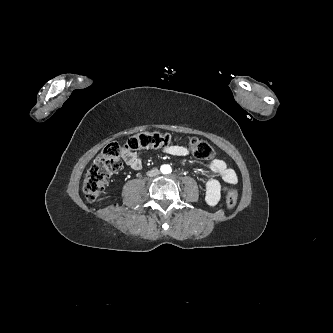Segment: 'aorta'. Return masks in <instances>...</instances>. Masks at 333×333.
<instances>
[{
    "label": "aorta",
    "instance_id": "762f6f07",
    "mask_svg": "<svg viewBox=\"0 0 333 333\" xmlns=\"http://www.w3.org/2000/svg\"><path fill=\"white\" fill-rule=\"evenodd\" d=\"M161 171L164 174H169L171 173V167L169 165H164L161 167Z\"/></svg>",
    "mask_w": 333,
    "mask_h": 333
}]
</instances>
